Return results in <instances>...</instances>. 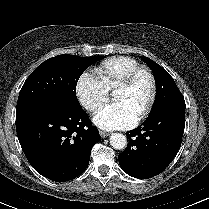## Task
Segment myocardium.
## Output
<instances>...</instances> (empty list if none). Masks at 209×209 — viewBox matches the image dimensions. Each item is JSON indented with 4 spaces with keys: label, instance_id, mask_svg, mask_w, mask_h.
Returning a JSON list of instances; mask_svg holds the SVG:
<instances>
[{
    "label": "myocardium",
    "instance_id": "f54148a6",
    "mask_svg": "<svg viewBox=\"0 0 209 209\" xmlns=\"http://www.w3.org/2000/svg\"><path fill=\"white\" fill-rule=\"evenodd\" d=\"M141 74H144L149 78L151 88H150V95H149L148 101H147L145 107L143 108V110L138 115L137 121H141L150 113V111L155 103V100H156L157 80H156V77L153 74V72L147 67L138 66V67L134 68L133 70H131L125 76V78L119 82V84L115 88V90L129 88L133 84L135 79Z\"/></svg>",
    "mask_w": 209,
    "mask_h": 209
}]
</instances>
